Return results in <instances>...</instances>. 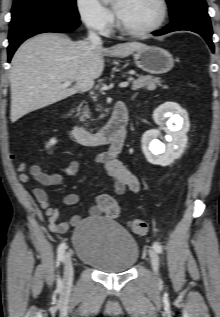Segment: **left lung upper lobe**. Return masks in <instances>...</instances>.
<instances>
[{
    "instance_id": "1",
    "label": "left lung upper lobe",
    "mask_w": 220,
    "mask_h": 317,
    "mask_svg": "<svg viewBox=\"0 0 220 317\" xmlns=\"http://www.w3.org/2000/svg\"><path fill=\"white\" fill-rule=\"evenodd\" d=\"M169 5L171 19L177 17L188 5H206L204 0H166Z\"/></svg>"
}]
</instances>
